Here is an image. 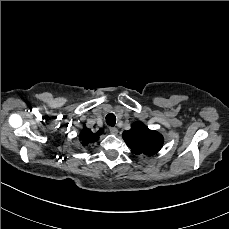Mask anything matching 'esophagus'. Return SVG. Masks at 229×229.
Listing matches in <instances>:
<instances>
[{"mask_svg":"<svg viewBox=\"0 0 229 229\" xmlns=\"http://www.w3.org/2000/svg\"><path fill=\"white\" fill-rule=\"evenodd\" d=\"M110 133L113 135H117L118 134V129L116 127H111L110 129Z\"/></svg>","mask_w":229,"mask_h":229,"instance_id":"1","label":"esophagus"}]
</instances>
